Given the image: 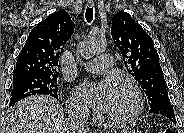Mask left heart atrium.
Wrapping results in <instances>:
<instances>
[{
  "instance_id": "1",
  "label": "left heart atrium",
  "mask_w": 184,
  "mask_h": 133,
  "mask_svg": "<svg viewBox=\"0 0 184 133\" xmlns=\"http://www.w3.org/2000/svg\"><path fill=\"white\" fill-rule=\"evenodd\" d=\"M77 92L91 108L105 112L115 97L116 88L108 81L83 83L78 87Z\"/></svg>"
}]
</instances>
